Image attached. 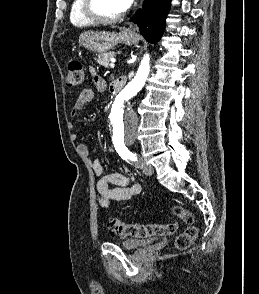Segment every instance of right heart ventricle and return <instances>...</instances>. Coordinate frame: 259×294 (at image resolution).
<instances>
[{
  "mask_svg": "<svg viewBox=\"0 0 259 294\" xmlns=\"http://www.w3.org/2000/svg\"><path fill=\"white\" fill-rule=\"evenodd\" d=\"M70 22L75 27H87L92 24L82 13V0H73L70 14Z\"/></svg>",
  "mask_w": 259,
  "mask_h": 294,
  "instance_id": "e07e8e85",
  "label": "right heart ventricle"
}]
</instances>
